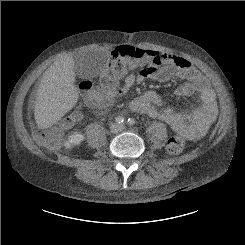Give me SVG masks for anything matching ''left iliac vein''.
<instances>
[{"instance_id": "4c4485c4", "label": "left iliac vein", "mask_w": 245, "mask_h": 245, "mask_svg": "<svg viewBox=\"0 0 245 245\" xmlns=\"http://www.w3.org/2000/svg\"><path fill=\"white\" fill-rule=\"evenodd\" d=\"M125 129V125H120V130H124Z\"/></svg>"}]
</instances>
